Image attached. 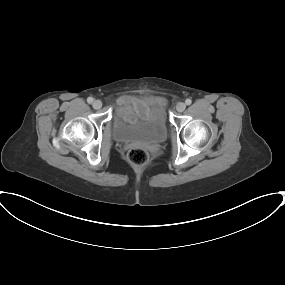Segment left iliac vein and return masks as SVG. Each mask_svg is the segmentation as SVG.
<instances>
[{
  "label": "left iliac vein",
  "mask_w": 285,
  "mask_h": 285,
  "mask_svg": "<svg viewBox=\"0 0 285 285\" xmlns=\"http://www.w3.org/2000/svg\"><path fill=\"white\" fill-rule=\"evenodd\" d=\"M185 108H186V105H185V103H183V102H179V103L176 105V110H177L178 112H183V111L185 110Z\"/></svg>",
  "instance_id": "obj_1"
}]
</instances>
